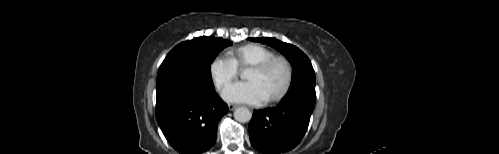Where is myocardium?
Instances as JSON below:
<instances>
[{
    "instance_id": "f54148a6",
    "label": "myocardium",
    "mask_w": 499,
    "mask_h": 154,
    "mask_svg": "<svg viewBox=\"0 0 499 154\" xmlns=\"http://www.w3.org/2000/svg\"><path fill=\"white\" fill-rule=\"evenodd\" d=\"M281 63L285 68V81L281 89L274 95L267 98V102L278 101L283 98L288 92L292 80H293V67L290 60L283 55H273L255 65H252L249 69H253L259 72H264L268 70L273 64Z\"/></svg>"
}]
</instances>
